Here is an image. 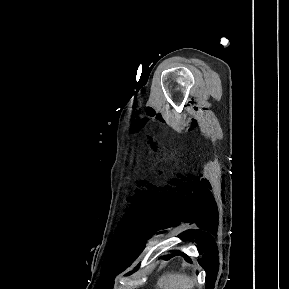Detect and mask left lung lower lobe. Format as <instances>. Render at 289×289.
<instances>
[{
  "instance_id": "1",
  "label": "left lung lower lobe",
  "mask_w": 289,
  "mask_h": 289,
  "mask_svg": "<svg viewBox=\"0 0 289 289\" xmlns=\"http://www.w3.org/2000/svg\"><path fill=\"white\" fill-rule=\"evenodd\" d=\"M172 256H174V255H170V256H168V257H172Z\"/></svg>"
}]
</instances>
